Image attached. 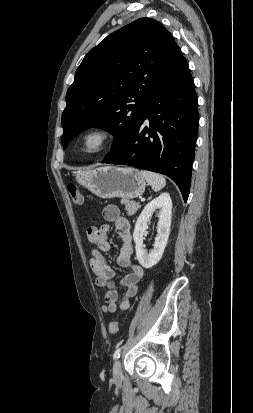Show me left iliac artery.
<instances>
[{"label":"left iliac artery","mask_w":253,"mask_h":413,"mask_svg":"<svg viewBox=\"0 0 253 413\" xmlns=\"http://www.w3.org/2000/svg\"><path fill=\"white\" fill-rule=\"evenodd\" d=\"M121 350H122V348H118V349L114 352V355H113V358H114V359H117V358L120 357Z\"/></svg>","instance_id":"44dca946"}]
</instances>
